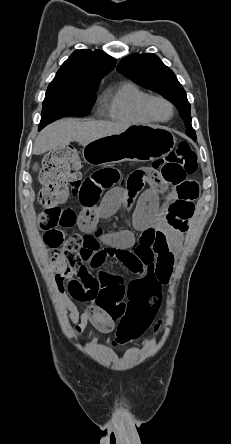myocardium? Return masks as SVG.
Masks as SVG:
<instances>
[{"instance_id":"1","label":"myocardium","mask_w":231,"mask_h":444,"mask_svg":"<svg viewBox=\"0 0 231 444\" xmlns=\"http://www.w3.org/2000/svg\"><path fill=\"white\" fill-rule=\"evenodd\" d=\"M155 101H162L164 103H166L169 108H170V115L167 118H160L153 110V103ZM143 111L144 113L150 117L151 119H153L154 121L157 122H167L169 120L172 119V117L174 116V112H175V107L174 104L172 103V101L170 99H168L167 97L163 96V95H149L146 100L144 101L143 104Z\"/></svg>"}]
</instances>
